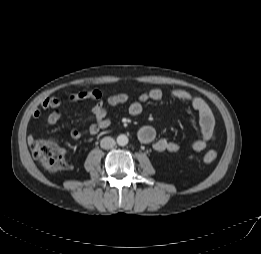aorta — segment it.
<instances>
[{
  "mask_svg": "<svg viewBox=\"0 0 261 254\" xmlns=\"http://www.w3.org/2000/svg\"><path fill=\"white\" fill-rule=\"evenodd\" d=\"M128 137L125 135V134H120L118 137H117V144L120 145V146H125L128 144Z\"/></svg>",
  "mask_w": 261,
  "mask_h": 254,
  "instance_id": "aorta-1",
  "label": "aorta"
}]
</instances>
